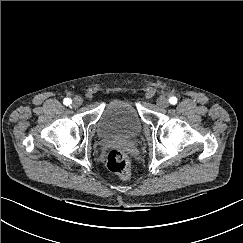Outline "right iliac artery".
<instances>
[{
  "instance_id": "1",
  "label": "right iliac artery",
  "mask_w": 243,
  "mask_h": 243,
  "mask_svg": "<svg viewBox=\"0 0 243 243\" xmlns=\"http://www.w3.org/2000/svg\"><path fill=\"white\" fill-rule=\"evenodd\" d=\"M63 103H64L66 106H69V105L72 103V101H71V99H69V98H65L64 101H63Z\"/></svg>"
}]
</instances>
